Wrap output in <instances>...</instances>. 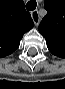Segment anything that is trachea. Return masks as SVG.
Masks as SVG:
<instances>
[{
    "mask_svg": "<svg viewBox=\"0 0 65 89\" xmlns=\"http://www.w3.org/2000/svg\"><path fill=\"white\" fill-rule=\"evenodd\" d=\"M36 6H37L36 1L35 0H30L26 4V9L29 10V11H32V10H35Z\"/></svg>",
    "mask_w": 65,
    "mask_h": 89,
    "instance_id": "1",
    "label": "trachea"
}]
</instances>
